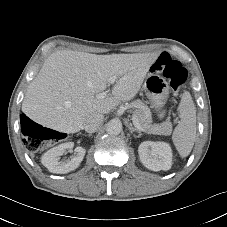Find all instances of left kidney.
Here are the masks:
<instances>
[{"mask_svg": "<svg viewBox=\"0 0 227 227\" xmlns=\"http://www.w3.org/2000/svg\"><path fill=\"white\" fill-rule=\"evenodd\" d=\"M143 165L152 170H169L172 166V150L165 142H142L138 149Z\"/></svg>", "mask_w": 227, "mask_h": 227, "instance_id": "1", "label": "left kidney"}]
</instances>
